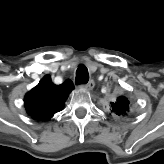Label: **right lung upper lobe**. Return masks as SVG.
Segmentation results:
<instances>
[{"label": "right lung upper lobe", "mask_w": 164, "mask_h": 164, "mask_svg": "<svg viewBox=\"0 0 164 164\" xmlns=\"http://www.w3.org/2000/svg\"><path fill=\"white\" fill-rule=\"evenodd\" d=\"M74 86L70 80L61 85L53 84L50 76H44L39 84L25 96L27 113L33 118L49 120L60 111Z\"/></svg>", "instance_id": "cb5924a9"}]
</instances>
